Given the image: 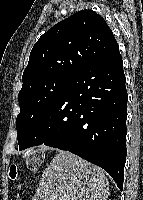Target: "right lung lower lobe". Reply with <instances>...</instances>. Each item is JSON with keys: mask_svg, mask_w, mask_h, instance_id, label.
<instances>
[{"mask_svg": "<svg viewBox=\"0 0 143 200\" xmlns=\"http://www.w3.org/2000/svg\"><path fill=\"white\" fill-rule=\"evenodd\" d=\"M128 94L119 48L71 77L24 149L68 150L106 170L123 189Z\"/></svg>", "mask_w": 143, "mask_h": 200, "instance_id": "98d812e1", "label": "right lung lower lobe"}]
</instances>
